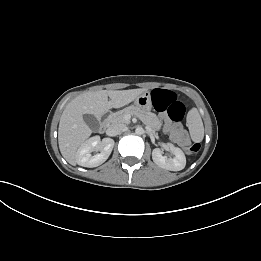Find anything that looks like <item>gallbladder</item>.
Listing matches in <instances>:
<instances>
[{
  "label": "gallbladder",
  "mask_w": 261,
  "mask_h": 261,
  "mask_svg": "<svg viewBox=\"0 0 261 261\" xmlns=\"http://www.w3.org/2000/svg\"><path fill=\"white\" fill-rule=\"evenodd\" d=\"M83 118L85 123L90 127L91 130L97 131L99 129L100 123L94 115L85 114Z\"/></svg>",
  "instance_id": "1"
}]
</instances>
